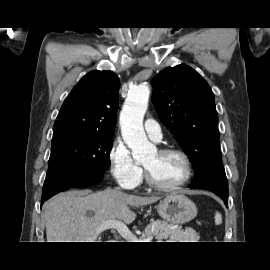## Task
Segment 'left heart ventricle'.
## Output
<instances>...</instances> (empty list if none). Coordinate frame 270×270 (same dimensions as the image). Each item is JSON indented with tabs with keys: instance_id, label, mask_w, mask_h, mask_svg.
<instances>
[{
	"instance_id": "obj_1",
	"label": "left heart ventricle",
	"mask_w": 270,
	"mask_h": 270,
	"mask_svg": "<svg viewBox=\"0 0 270 270\" xmlns=\"http://www.w3.org/2000/svg\"><path fill=\"white\" fill-rule=\"evenodd\" d=\"M152 179L161 185H172L179 182L185 174L184 164L176 154H150L143 162Z\"/></svg>"
}]
</instances>
